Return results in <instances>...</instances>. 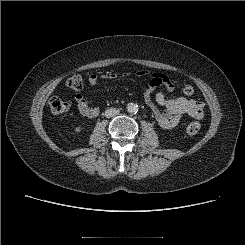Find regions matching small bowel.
Instances as JSON below:
<instances>
[{
  "instance_id": "obj_1",
  "label": "small bowel",
  "mask_w": 245,
  "mask_h": 245,
  "mask_svg": "<svg viewBox=\"0 0 245 245\" xmlns=\"http://www.w3.org/2000/svg\"><path fill=\"white\" fill-rule=\"evenodd\" d=\"M137 77H149L144 90V99L150 106L153 115L163 129H172L179 125L183 116L201 119L204 115L205 105L202 101L187 99L181 96L167 97L165 92L173 93L174 84L162 73H151L146 70L136 72ZM114 77V75H111ZM99 76L92 73L88 77L91 86L96 85ZM75 101L80 113L87 118H95L99 114L97 107L89 105L84 96L76 94ZM160 107L164 108L163 110Z\"/></svg>"
}]
</instances>
